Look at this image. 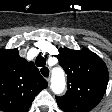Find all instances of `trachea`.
<instances>
[{
	"label": "trachea",
	"mask_w": 112,
	"mask_h": 112,
	"mask_svg": "<svg viewBox=\"0 0 112 112\" xmlns=\"http://www.w3.org/2000/svg\"><path fill=\"white\" fill-rule=\"evenodd\" d=\"M35 63H36V66H38V67H43V66H45V64H46V60H45V58H44L43 56L39 55V56L36 58ZM43 69H44V68H43ZM42 74H43L44 76H46L43 72H42Z\"/></svg>",
	"instance_id": "trachea-1"
}]
</instances>
